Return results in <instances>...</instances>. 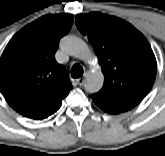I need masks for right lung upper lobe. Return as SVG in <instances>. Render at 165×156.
Here are the masks:
<instances>
[{
    "mask_svg": "<svg viewBox=\"0 0 165 156\" xmlns=\"http://www.w3.org/2000/svg\"><path fill=\"white\" fill-rule=\"evenodd\" d=\"M73 19L70 14L43 16L21 29L7 44L0 58V91L21 115L47 118L72 89L55 53Z\"/></svg>",
    "mask_w": 165,
    "mask_h": 156,
    "instance_id": "obj_1",
    "label": "right lung upper lobe"
}]
</instances>
